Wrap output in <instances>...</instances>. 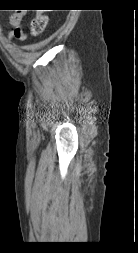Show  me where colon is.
Listing matches in <instances>:
<instances>
[{
  "mask_svg": "<svg viewBox=\"0 0 138 253\" xmlns=\"http://www.w3.org/2000/svg\"><path fill=\"white\" fill-rule=\"evenodd\" d=\"M48 17L42 12H38L31 23V34L33 36L41 35L46 29Z\"/></svg>",
  "mask_w": 138,
  "mask_h": 253,
  "instance_id": "obj_1",
  "label": "colon"
}]
</instances>
